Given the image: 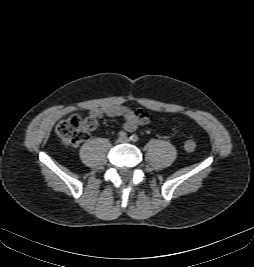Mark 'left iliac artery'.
I'll list each match as a JSON object with an SVG mask.
<instances>
[{
  "label": "left iliac artery",
  "instance_id": "left-iliac-artery-1",
  "mask_svg": "<svg viewBox=\"0 0 254 267\" xmlns=\"http://www.w3.org/2000/svg\"><path fill=\"white\" fill-rule=\"evenodd\" d=\"M130 139L133 141V142H137L139 140L138 136L136 134L132 135L130 137Z\"/></svg>",
  "mask_w": 254,
  "mask_h": 267
}]
</instances>
